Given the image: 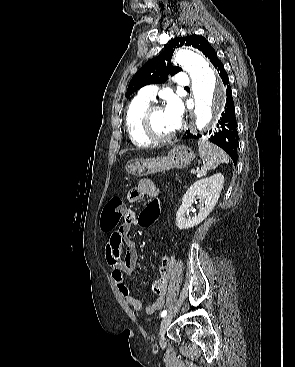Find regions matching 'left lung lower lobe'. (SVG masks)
<instances>
[{"label": "left lung lower lobe", "instance_id": "0a47b994", "mask_svg": "<svg viewBox=\"0 0 295 367\" xmlns=\"http://www.w3.org/2000/svg\"><path fill=\"white\" fill-rule=\"evenodd\" d=\"M213 66L218 71L224 85H226V104L222 113V117L218 122L217 129L215 131H210L209 141L225 150L236 165L238 157V133L231 87L229 84L228 75L224 69L222 62L218 58H216L213 62ZM202 136H206V134L204 133L193 135L188 130L183 135V139H198Z\"/></svg>", "mask_w": 295, "mask_h": 367}]
</instances>
